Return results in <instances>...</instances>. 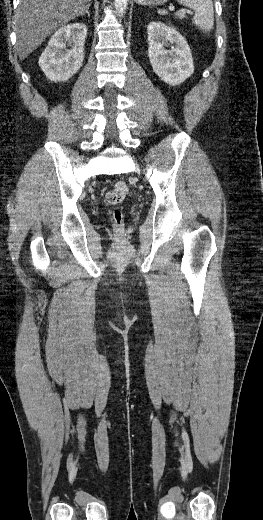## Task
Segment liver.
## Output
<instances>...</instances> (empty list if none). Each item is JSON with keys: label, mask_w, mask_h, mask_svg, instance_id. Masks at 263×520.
I'll return each mask as SVG.
<instances>
[{"label": "liver", "mask_w": 263, "mask_h": 520, "mask_svg": "<svg viewBox=\"0 0 263 520\" xmlns=\"http://www.w3.org/2000/svg\"><path fill=\"white\" fill-rule=\"evenodd\" d=\"M91 0H20L14 19L17 51L28 57L54 31L84 14Z\"/></svg>", "instance_id": "1"}]
</instances>
